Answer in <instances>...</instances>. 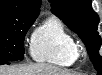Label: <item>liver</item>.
I'll use <instances>...</instances> for the list:
<instances>
[{
	"label": "liver",
	"mask_w": 102,
	"mask_h": 75,
	"mask_svg": "<svg viewBox=\"0 0 102 75\" xmlns=\"http://www.w3.org/2000/svg\"><path fill=\"white\" fill-rule=\"evenodd\" d=\"M0 75H77L48 64H32L28 66H1Z\"/></svg>",
	"instance_id": "1"
}]
</instances>
